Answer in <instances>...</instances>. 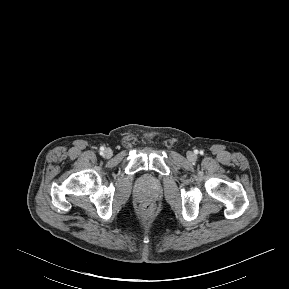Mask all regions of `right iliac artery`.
<instances>
[{
    "instance_id": "1",
    "label": "right iliac artery",
    "mask_w": 289,
    "mask_h": 289,
    "mask_svg": "<svg viewBox=\"0 0 289 289\" xmlns=\"http://www.w3.org/2000/svg\"><path fill=\"white\" fill-rule=\"evenodd\" d=\"M100 151H101V153H102V152L104 151V148H103V147H101V148H100Z\"/></svg>"
}]
</instances>
